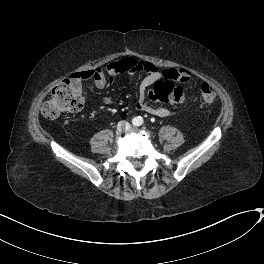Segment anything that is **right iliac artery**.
Masks as SVG:
<instances>
[{
    "label": "right iliac artery",
    "mask_w": 264,
    "mask_h": 264,
    "mask_svg": "<svg viewBox=\"0 0 264 264\" xmlns=\"http://www.w3.org/2000/svg\"><path fill=\"white\" fill-rule=\"evenodd\" d=\"M132 124H133L134 126H137V120H136V119H133V120H132Z\"/></svg>",
    "instance_id": "82829eb1"
}]
</instances>
